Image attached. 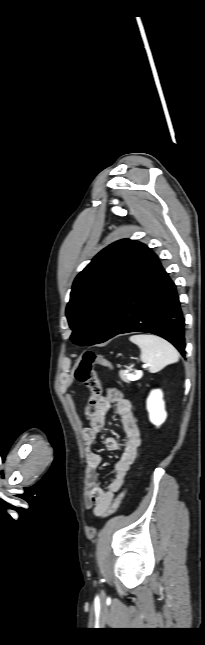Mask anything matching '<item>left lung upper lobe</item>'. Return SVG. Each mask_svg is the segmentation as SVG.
<instances>
[{
    "instance_id": "left-lung-upper-lobe-1",
    "label": "left lung upper lobe",
    "mask_w": 205,
    "mask_h": 645,
    "mask_svg": "<svg viewBox=\"0 0 205 645\" xmlns=\"http://www.w3.org/2000/svg\"><path fill=\"white\" fill-rule=\"evenodd\" d=\"M143 244L129 239L112 243L76 277L66 316L76 344L105 341L115 321L122 288Z\"/></svg>"
}]
</instances>
